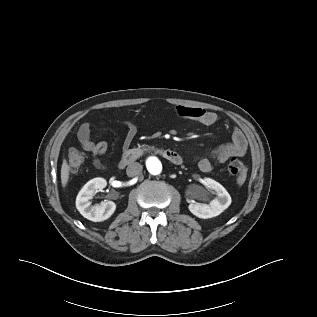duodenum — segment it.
<instances>
[{"instance_id": "1", "label": "duodenum", "mask_w": 317, "mask_h": 317, "mask_svg": "<svg viewBox=\"0 0 317 317\" xmlns=\"http://www.w3.org/2000/svg\"><path fill=\"white\" fill-rule=\"evenodd\" d=\"M145 151V149L140 148L126 150L119 162V168H124L128 164L137 161L144 154ZM153 151L163 156L167 161H169L172 164L180 165L182 163V157L176 151L159 149H153Z\"/></svg>"}]
</instances>
